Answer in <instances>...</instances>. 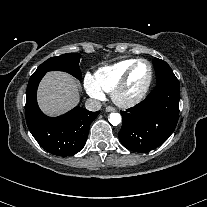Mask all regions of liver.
I'll return each mask as SVG.
<instances>
[{
  "instance_id": "obj_1",
  "label": "liver",
  "mask_w": 207,
  "mask_h": 207,
  "mask_svg": "<svg viewBox=\"0 0 207 207\" xmlns=\"http://www.w3.org/2000/svg\"><path fill=\"white\" fill-rule=\"evenodd\" d=\"M79 100V84L68 73L48 72L39 84L37 101L46 115H61L74 108Z\"/></svg>"
}]
</instances>
